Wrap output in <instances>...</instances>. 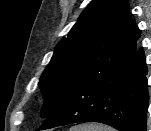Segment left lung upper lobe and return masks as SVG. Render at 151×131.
Returning a JSON list of instances; mask_svg holds the SVG:
<instances>
[{"label": "left lung upper lobe", "mask_w": 151, "mask_h": 131, "mask_svg": "<svg viewBox=\"0 0 151 131\" xmlns=\"http://www.w3.org/2000/svg\"><path fill=\"white\" fill-rule=\"evenodd\" d=\"M136 41L137 27L130 18L128 0H93L57 44L40 77L41 117L52 115L87 72L112 69L132 59Z\"/></svg>", "instance_id": "1"}]
</instances>
